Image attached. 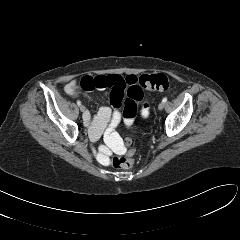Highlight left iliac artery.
I'll list each match as a JSON object with an SVG mask.
<instances>
[{
  "label": "left iliac artery",
  "instance_id": "44dca946",
  "mask_svg": "<svg viewBox=\"0 0 240 240\" xmlns=\"http://www.w3.org/2000/svg\"><path fill=\"white\" fill-rule=\"evenodd\" d=\"M162 102H163V103H166V102H167V98L164 97V98L162 99Z\"/></svg>",
  "mask_w": 240,
  "mask_h": 240
}]
</instances>
